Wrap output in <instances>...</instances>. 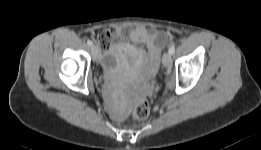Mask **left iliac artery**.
I'll list each match as a JSON object with an SVG mask.
<instances>
[{
    "label": "left iliac artery",
    "instance_id": "1",
    "mask_svg": "<svg viewBox=\"0 0 261 150\" xmlns=\"http://www.w3.org/2000/svg\"><path fill=\"white\" fill-rule=\"evenodd\" d=\"M175 51V46L174 45H171L168 52L172 55Z\"/></svg>",
    "mask_w": 261,
    "mask_h": 150
}]
</instances>
